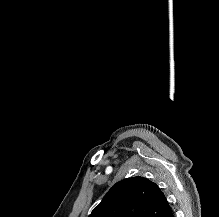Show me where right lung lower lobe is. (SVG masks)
Masks as SVG:
<instances>
[{"instance_id": "obj_1", "label": "right lung lower lobe", "mask_w": 219, "mask_h": 217, "mask_svg": "<svg viewBox=\"0 0 219 217\" xmlns=\"http://www.w3.org/2000/svg\"><path fill=\"white\" fill-rule=\"evenodd\" d=\"M169 217H175V216H174V214H173V213H171V214L169 215Z\"/></svg>"}]
</instances>
